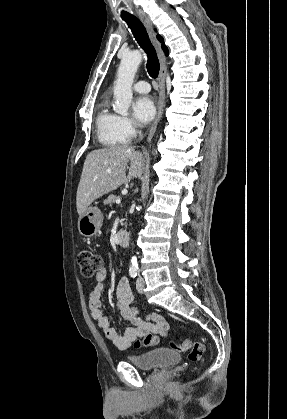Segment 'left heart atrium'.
Wrapping results in <instances>:
<instances>
[{"instance_id":"1","label":"left heart atrium","mask_w":287,"mask_h":419,"mask_svg":"<svg viewBox=\"0 0 287 419\" xmlns=\"http://www.w3.org/2000/svg\"><path fill=\"white\" fill-rule=\"evenodd\" d=\"M133 115L141 124H146L156 113L155 105L150 96H140L132 104Z\"/></svg>"}]
</instances>
